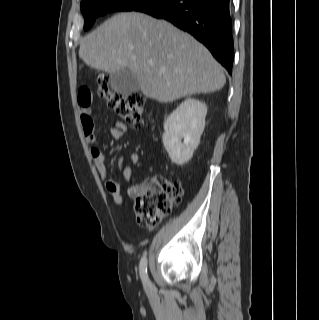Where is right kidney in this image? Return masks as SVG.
I'll return each instance as SVG.
<instances>
[{"label": "right kidney", "instance_id": "ca27d5eb", "mask_svg": "<svg viewBox=\"0 0 319 320\" xmlns=\"http://www.w3.org/2000/svg\"><path fill=\"white\" fill-rule=\"evenodd\" d=\"M206 113L205 103L188 98L166 119L163 145L173 163L183 165L191 159L204 131Z\"/></svg>", "mask_w": 319, "mask_h": 320}]
</instances>
